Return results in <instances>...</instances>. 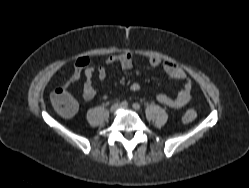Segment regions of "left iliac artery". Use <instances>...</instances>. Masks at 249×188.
<instances>
[{"label": "left iliac artery", "mask_w": 249, "mask_h": 188, "mask_svg": "<svg viewBox=\"0 0 249 188\" xmlns=\"http://www.w3.org/2000/svg\"><path fill=\"white\" fill-rule=\"evenodd\" d=\"M133 108L135 109V110H140V105L138 104V103H133Z\"/></svg>", "instance_id": "44dca946"}]
</instances>
